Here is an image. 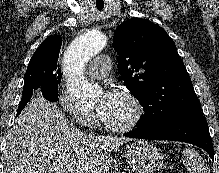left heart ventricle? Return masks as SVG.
<instances>
[{
    "instance_id": "1",
    "label": "left heart ventricle",
    "mask_w": 219,
    "mask_h": 173,
    "mask_svg": "<svg viewBox=\"0 0 219 173\" xmlns=\"http://www.w3.org/2000/svg\"><path fill=\"white\" fill-rule=\"evenodd\" d=\"M133 114L134 108L132 104L121 94L115 93L102 119L107 123L120 125L129 121Z\"/></svg>"
}]
</instances>
